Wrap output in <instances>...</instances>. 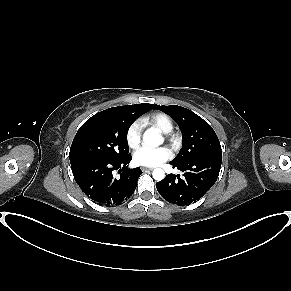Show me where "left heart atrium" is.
<instances>
[{"label": "left heart atrium", "instance_id": "obj_1", "mask_svg": "<svg viewBox=\"0 0 291 291\" xmlns=\"http://www.w3.org/2000/svg\"><path fill=\"white\" fill-rule=\"evenodd\" d=\"M171 157V152L165 147L152 148L142 146L135 150L133 154L134 162L138 165L152 167L168 160Z\"/></svg>", "mask_w": 291, "mask_h": 291}]
</instances>
